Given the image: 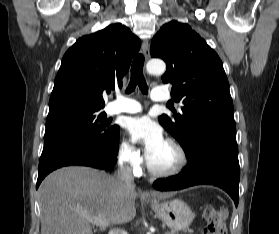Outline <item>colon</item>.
<instances>
[{
	"instance_id": "obj_1",
	"label": "colon",
	"mask_w": 279,
	"mask_h": 234,
	"mask_svg": "<svg viewBox=\"0 0 279 234\" xmlns=\"http://www.w3.org/2000/svg\"><path fill=\"white\" fill-rule=\"evenodd\" d=\"M226 209L224 207L208 208L205 211L207 225L203 234H224L225 232Z\"/></svg>"
}]
</instances>
